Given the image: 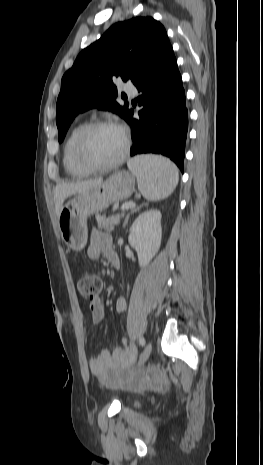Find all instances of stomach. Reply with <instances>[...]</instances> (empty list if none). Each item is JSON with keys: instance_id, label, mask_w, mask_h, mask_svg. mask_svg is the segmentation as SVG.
<instances>
[{"instance_id": "obj_1", "label": "stomach", "mask_w": 263, "mask_h": 465, "mask_svg": "<svg viewBox=\"0 0 263 465\" xmlns=\"http://www.w3.org/2000/svg\"><path fill=\"white\" fill-rule=\"evenodd\" d=\"M134 190L135 176L119 170L100 185L77 193L68 200L58 216V226L65 244L76 251L83 249L87 243L88 217L129 198Z\"/></svg>"}]
</instances>
